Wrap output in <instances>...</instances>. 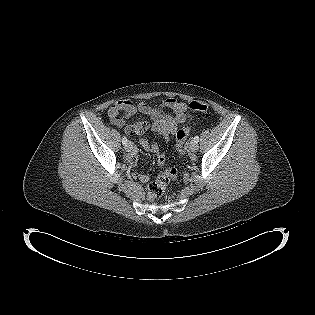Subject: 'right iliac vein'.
Returning a JSON list of instances; mask_svg holds the SVG:
<instances>
[{
  "mask_svg": "<svg viewBox=\"0 0 315 315\" xmlns=\"http://www.w3.org/2000/svg\"><path fill=\"white\" fill-rule=\"evenodd\" d=\"M133 148H134V145H133V143H132L131 141H129V142L125 145V150H126L127 152H131V151L133 150Z\"/></svg>",
  "mask_w": 315,
  "mask_h": 315,
  "instance_id": "1",
  "label": "right iliac vein"
}]
</instances>
